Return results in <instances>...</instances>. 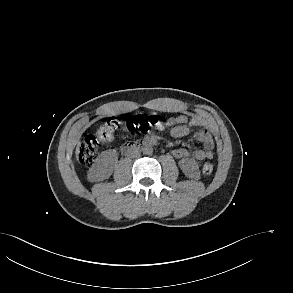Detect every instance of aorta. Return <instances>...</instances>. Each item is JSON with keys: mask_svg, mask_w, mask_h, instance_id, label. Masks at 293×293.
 <instances>
[{"mask_svg": "<svg viewBox=\"0 0 293 293\" xmlns=\"http://www.w3.org/2000/svg\"><path fill=\"white\" fill-rule=\"evenodd\" d=\"M142 152L145 155H151L153 153V148L151 145L146 144L142 147Z\"/></svg>", "mask_w": 293, "mask_h": 293, "instance_id": "762f6f07", "label": "aorta"}]
</instances>
